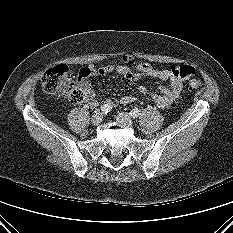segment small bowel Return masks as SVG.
<instances>
[{"label": "small bowel", "mask_w": 233, "mask_h": 233, "mask_svg": "<svg viewBox=\"0 0 233 233\" xmlns=\"http://www.w3.org/2000/svg\"><path fill=\"white\" fill-rule=\"evenodd\" d=\"M176 69H159L147 62L137 63L133 56L125 54L119 64L95 65L91 64L80 70L77 84L84 95V104L89 107L96 106L98 99L88 79L95 76H105L116 72L128 81H137L142 77H154L169 83V86H160L158 93H151L146 87H139L143 95L150 94L157 107L164 109L169 107L179 96L184 79L175 74ZM135 96L126 95L119 99L110 97L104 100V104L111 107L128 105L136 101Z\"/></svg>", "instance_id": "small-bowel-1"}]
</instances>
